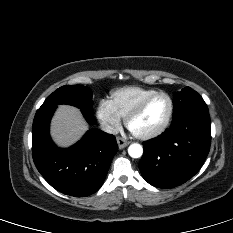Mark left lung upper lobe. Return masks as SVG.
Returning <instances> with one entry per match:
<instances>
[{"instance_id":"left-lung-upper-lobe-1","label":"left lung upper lobe","mask_w":233,"mask_h":233,"mask_svg":"<svg viewBox=\"0 0 233 233\" xmlns=\"http://www.w3.org/2000/svg\"><path fill=\"white\" fill-rule=\"evenodd\" d=\"M195 109L208 110L203 98L196 91L186 87L174 94L173 119Z\"/></svg>"}]
</instances>
